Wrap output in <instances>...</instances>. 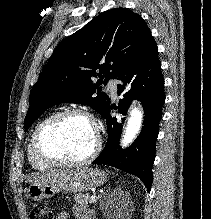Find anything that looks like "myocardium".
I'll return each mask as SVG.
<instances>
[{
	"instance_id": "myocardium-1",
	"label": "myocardium",
	"mask_w": 211,
	"mask_h": 219,
	"mask_svg": "<svg viewBox=\"0 0 211 219\" xmlns=\"http://www.w3.org/2000/svg\"><path fill=\"white\" fill-rule=\"evenodd\" d=\"M65 117H78L89 124L95 130L96 134V141L92 151L84 158L79 160H65L60 158H55L49 155L44 148L42 147L43 136L45 132L58 120L65 118ZM101 136L99 133V129L97 124L95 123L93 117L80 109H65L59 112L52 114L51 116L47 117L37 128L33 139H32V151L36 158L43 162L44 164L51 166V167H80L91 163L99 154L101 150Z\"/></svg>"
}]
</instances>
